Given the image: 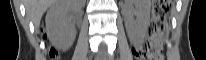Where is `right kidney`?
<instances>
[{"label":"right kidney","instance_id":"ca27d5eb","mask_svg":"<svg viewBox=\"0 0 206 60\" xmlns=\"http://www.w3.org/2000/svg\"><path fill=\"white\" fill-rule=\"evenodd\" d=\"M77 0H60L49 8L46 15V27L51 41L60 48L71 46L75 29L68 14L77 8Z\"/></svg>","mask_w":206,"mask_h":60}]
</instances>
